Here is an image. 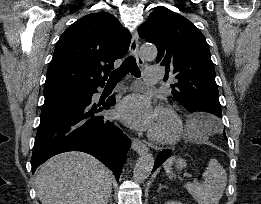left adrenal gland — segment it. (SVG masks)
Listing matches in <instances>:
<instances>
[{"label": "left adrenal gland", "mask_w": 261, "mask_h": 204, "mask_svg": "<svg viewBox=\"0 0 261 204\" xmlns=\"http://www.w3.org/2000/svg\"><path fill=\"white\" fill-rule=\"evenodd\" d=\"M162 188H167L166 186H164V185H159V189H158V191H160Z\"/></svg>", "instance_id": "left-adrenal-gland-1"}]
</instances>
